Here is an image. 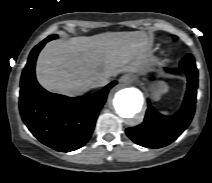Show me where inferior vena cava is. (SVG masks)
Instances as JSON below:
<instances>
[{
    "mask_svg": "<svg viewBox=\"0 0 212 183\" xmlns=\"http://www.w3.org/2000/svg\"><path fill=\"white\" fill-rule=\"evenodd\" d=\"M109 76H99L96 77L93 81V87H104L109 83Z\"/></svg>",
    "mask_w": 212,
    "mask_h": 183,
    "instance_id": "1",
    "label": "inferior vena cava"
}]
</instances>
